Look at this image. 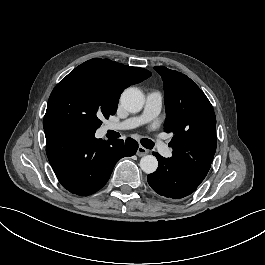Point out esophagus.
Here are the masks:
<instances>
[{
    "label": "esophagus",
    "mask_w": 265,
    "mask_h": 265,
    "mask_svg": "<svg viewBox=\"0 0 265 265\" xmlns=\"http://www.w3.org/2000/svg\"><path fill=\"white\" fill-rule=\"evenodd\" d=\"M149 153V150L144 148L143 146L139 145L137 149V156L142 157Z\"/></svg>",
    "instance_id": "esophagus-1"
}]
</instances>
